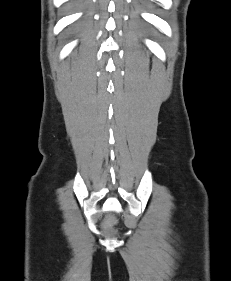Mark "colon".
Instances as JSON below:
<instances>
[{"mask_svg": "<svg viewBox=\"0 0 231 281\" xmlns=\"http://www.w3.org/2000/svg\"><path fill=\"white\" fill-rule=\"evenodd\" d=\"M113 223H114L113 219H109L106 223L107 227H111L113 225Z\"/></svg>", "mask_w": 231, "mask_h": 281, "instance_id": "colon-1", "label": "colon"}]
</instances>
